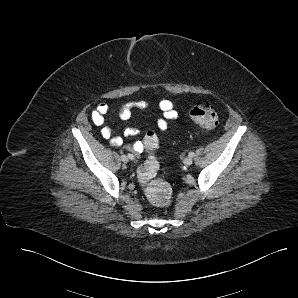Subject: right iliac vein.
I'll use <instances>...</instances> for the list:
<instances>
[{"mask_svg": "<svg viewBox=\"0 0 298 298\" xmlns=\"http://www.w3.org/2000/svg\"><path fill=\"white\" fill-rule=\"evenodd\" d=\"M121 160L124 162V163H127L128 162V157L126 155H122L121 156Z\"/></svg>", "mask_w": 298, "mask_h": 298, "instance_id": "63e3f726", "label": "right iliac vein"}]
</instances>
